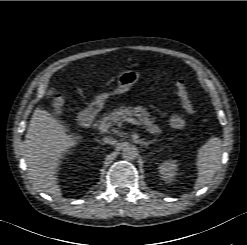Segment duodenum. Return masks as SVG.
I'll list each match as a JSON object with an SVG mask.
<instances>
[{
  "label": "duodenum",
  "mask_w": 247,
  "mask_h": 245,
  "mask_svg": "<svg viewBox=\"0 0 247 245\" xmlns=\"http://www.w3.org/2000/svg\"><path fill=\"white\" fill-rule=\"evenodd\" d=\"M96 114H97L96 108H86L82 110L78 116L79 124L83 127L90 126Z\"/></svg>",
  "instance_id": "duodenum-1"
}]
</instances>
